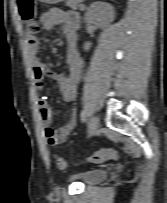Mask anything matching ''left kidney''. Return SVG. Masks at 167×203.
<instances>
[{
  "instance_id": "5707ae66",
  "label": "left kidney",
  "mask_w": 167,
  "mask_h": 203,
  "mask_svg": "<svg viewBox=\"0 0 167 203\" xmlns=\"http://www.w3.org/2000/svg\"><path fill=\"white\" fill-rule=\"evenodd\" d=\"M114 20L112 7L103 3H93L85 15L86 23H93L100 28L106 27ZM91 43H85L84 49L89 50Z\"/></svg>"
}]
</instances>
